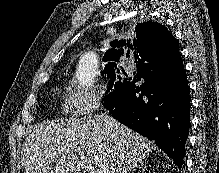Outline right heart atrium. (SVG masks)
<instances>
[{
  "instance_id": "d8ad5b80",
  "label": "right heart atrium",
  "mask_w": 219,
  "mask_h": 173,
  "mask_svg": "<svg viewBox=\"0 0 219 173\" xmlns=\"http://www.w3.org/2000/svg\"><path fill=\"white\" fill-rule=\"evenodd\" d=\"M103 91L87 89L77 82H71L67 87L66 102L70 111L80 117L91 115L103 103Z\"/></svg>"
}]
</instances>
